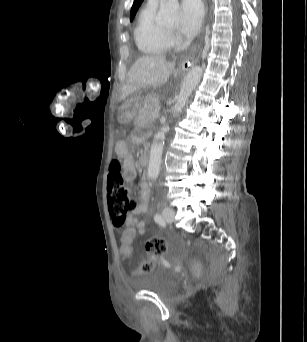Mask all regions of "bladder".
Masks as SVG:
<instances>
[{"label":"bladder","instance_id":"31cf9c89","mask_svg":"<svg viewBox=\"0 0 307 342\" xmlns=\"http://www.w3.org/2000/svg\"><path fill=\"white\" fill-rule=\"evenodd\" d=\"M141 287L157 295L168 296L176 290L177 284L164 270L158 268L145 276Z\"/></svg>","mask_w":307,"mask_h":342}]
</instances>
